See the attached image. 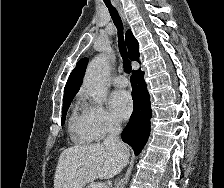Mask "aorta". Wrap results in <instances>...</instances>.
Returning <instances> with one entry per match:
<instances>
[{"label": "aorta", "mask_w": 224, "mask_h": 188, "mask_svg": "<svg viewBox=\"0 0 224 188\" xmlns=\"http://www.w3.org/2000/svg\"><path fill=\"white\" fill-rule=\"evenodd\" d=\"M109 61L105 54L95 57L88 65L84 85L96 103L101 104L107 96Z\"/></svg>", "instance_id": "obj_1"}]
</instances>
